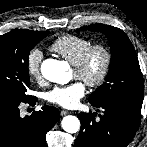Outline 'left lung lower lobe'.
Listing matches in <instances>:
<instances>
[{"mask_svg": "<svg viewBox=\"0 0 147 147\" xmlns=\"http://www.w3.org/2000/svg\"><path fill=\"white\" fill-rule=\"evenodd\" d=\"M103 108L100 120L88 113L79 114L81 129L74 147H126L140 125L141 109L125 103L92 105Z\"/></svg>", "mask_w": 147, "mask_h": 147, "instance_id": "obj_1", "label": "left lung lower lobe"}]
</instances>
